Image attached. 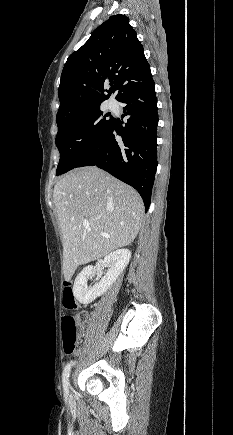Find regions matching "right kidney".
<instances>
[{
	"instance_id": "ca27d5eb",
	"label": "right kidney",
	"mask_w": 233,
	"mask_h": 435,
	"mask_svg": "<svg viewBox=\"0 0 233 435\" xmlns=\"http://www.w3.org/2000/svg\"><path fill=\"white\" fill-rule=\"evenodd\" d=\"M130 258L131 251L128 249H120L108 254L104 258V265L109 269L101 281L92 287H88L87 281L94 274L95 268L93 266L85 267L75 279L73 286L74 297L82 304L93 302L113 285L128 265Z\"/></svg>"
}]
</instances>
